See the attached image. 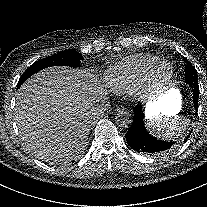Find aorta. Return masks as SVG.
<instances>
[{
  "mask_svg": "<svg viewBox=\"0 0 207 207\" xmlns=\"http://www.w3.org/2000/svg\"><path fill=\"white\" fill-rule=\"evenodd\" d=\"M116 124L122 128H128L132 123V116L126 110H119L115 115Z\"/></svg>",
  "mask_w": 207,
  "mask_h": 207,
  "instance_id": "762f6f07",
  "label": "aorta"
}]
</instances>
